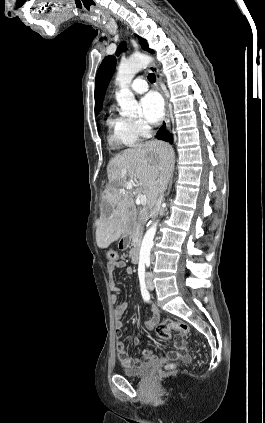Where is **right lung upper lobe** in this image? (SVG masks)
<instances>
[{
    "label": "right lung upper lobe",
    "instance_id": "right-lung-upper-lobe-1",
    "mask_svg": "<svg viewBox=\"0 0 265 423\" xmlns=\"http://www.w3.org/2000/svg\"><path fill=\"white\" fill-rule=\"evenodd\" d=\"M97 107H98L97 104H95V113L96 114L98 113V108Z\"/></svg>",
    "mask_w": 265,
    "mask_h": 423
}]
</instances>
